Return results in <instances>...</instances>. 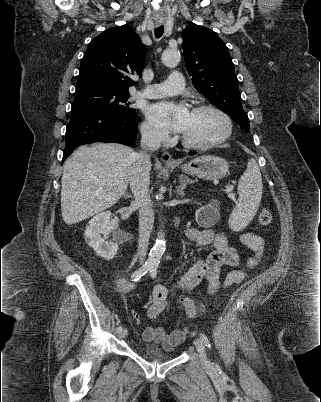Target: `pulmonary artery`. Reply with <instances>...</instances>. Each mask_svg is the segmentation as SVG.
I'll use <instances>...</instances> for the list:
<instances>
[{"label": "pulmonary artery", "instance_id": "1", "mask_svg": "<svg viewBox=\"0 0 321 402\" xmlns=\"http://www.w3.org/2000/svg\"><path fill=\"white\" fill-rule=\"evenodd\" d=\"M183 88V75L180 72H173L166 81L146 86L140 95L149 99L161 98L178 94Z\"/></svg>", "mask_w": 321, "mask_h": 402}]
</instances>
